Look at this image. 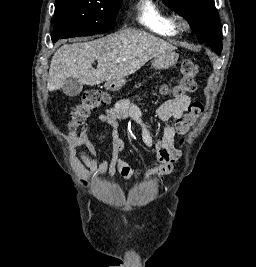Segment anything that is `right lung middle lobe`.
<instances>
[{
  "label": "right lung middle lobe",
  "mask_w": 256,
  "mask_h": 267,
  "mask_svg": "<svg viewBox=\"0 0 256 267\" xmlns=\"http://www.w3.org/2000/svg\"><path fill=\"white\" fill-rule=\"evenodd\" d=\"M122 0H56L53 42L112 29Z\"/></svg>",
  "instance_id": "1"
}]
</instances>
